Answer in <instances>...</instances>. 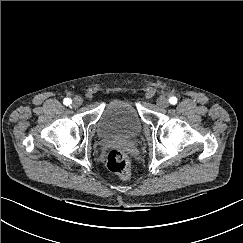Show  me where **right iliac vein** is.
I'll return each mask as SVG.
<instances>
[{
  "label": "right iliac vein",
  "mask_w": 243,
  "mask_h": 243,
  "mask_svg": "<svg viewBox=\"0 0 243 243\" xmlns=\"http://www.w3.org/2000/svg\"><path fill=\"white\" fill-rule=\"evenodd\" d=\"M82 102H83L82 98L80 96H76L73 98L72 105L74 107H79V106H81Z\"/></svg>",
  "instance_id": "63e3f726"
}]
</instances>
